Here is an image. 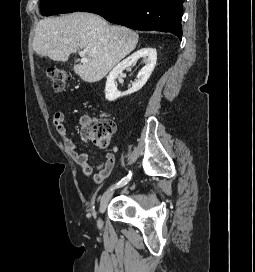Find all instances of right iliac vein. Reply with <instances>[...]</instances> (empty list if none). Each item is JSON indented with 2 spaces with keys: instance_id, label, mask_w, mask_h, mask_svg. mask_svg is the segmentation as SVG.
Masks as SVG:
<instances>
[{
  "instance_id": "obj_1",
  "label": "right iliac vein",
  "mask_w": 255,
  "mask_h": 272,
  "mask_svg": "<svg viewBox=\"0 0 255 272\" xmlns=\"http://www.w3.org/2000/svg\"><path fill=\"white\" fill-rule=\"evenodd\" d=\"M113 193H114V191L112 189H110V190H107L102 195L101 200H100V207H99L100 213H103L105 211L110 199L113 196ZM101 226H102V221H101V219H98V227H101Z\"/></svg>"
}]
</instances>
